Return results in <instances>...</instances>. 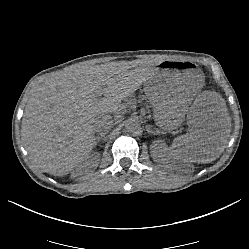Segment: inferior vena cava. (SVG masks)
Segmentation results:
<instances>
[{
    "instance_id": "1",
    "label": "inferior vena cava",
    "mask_w": 249,
    "mask_h": 249,
    "mask_svg": "<svg viewBox=\"0 0 249 249\" xmlns=\"http://www.w3.org/2000/svg\"><path fill=\"white\" fill-rule=\"evenodd\" d=\"M113 127V120L111 115H103L99 120L94 124V131L105 133L108 132Z\"/></svg>"
}]
</instances>
